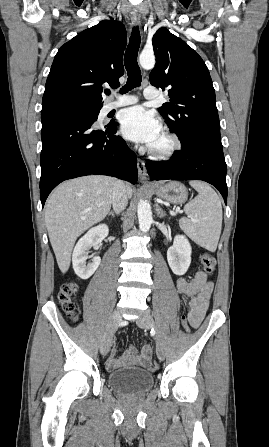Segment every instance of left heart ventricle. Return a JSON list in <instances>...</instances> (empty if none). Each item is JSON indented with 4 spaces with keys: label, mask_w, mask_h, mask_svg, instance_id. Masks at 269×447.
I'll return each instance as SVG.
<instances>
[{
    "label": "left heart ventricle",
    "mask_w": 269,
    "mask_h": 447,
    "mask_svg": "<svg viewBox=\"0 0 269 447\" xmlns=\"http://www.w3.org/2000/svg\"><path fill=\"white\" fill-rule=\"evenodd\" d=\"M171 145L170 138L162 130V132L148 145V147L154 152H163L167 150Z\"/></svg>",
    "instance_id": "left-heart-ventricle-1"
}]
</instances>
